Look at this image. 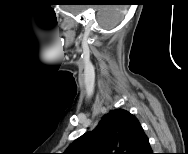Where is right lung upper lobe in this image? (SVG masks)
<instances>
[{
    "mask_svg": "<svg viewBox=\"0 0 188 154\" xmlns=\"http://www.w3.org/2000/svg\"><path fill=\"white\" fill-rule=\"evenodd\" d=\"M149 140L138 119L118 108L105 114L97 127L76 139L65 154H146Z\"/></svg>",
    "mask_w": 188,
    "mask_h": 154,
    "instance_id": "1",
    "label": "right lung upper lobe"
}]
</instances>
